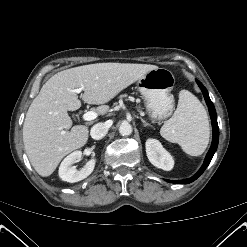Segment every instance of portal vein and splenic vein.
Wrapping results in <instances>:
<instances>
[{"instance_id": "18ae733b", "label": "portal vein and splenic vein", "mask_w": 247, "mask_h": 247, "mask_svg": "<svg viewBox=\"0 0 247 247\" xmlns=\"http://www.w3.org/2000/svg\"><path fill=\"white\" fill-rule=\"evenodd\" d=\"M81 88L75 89L73 90L75 93H80L81 92ZM97 113L94 111H88L86 113L83 114L82 118L84 121H91L97 118Z\"/></svg>"}]
</instances>
